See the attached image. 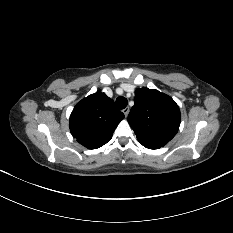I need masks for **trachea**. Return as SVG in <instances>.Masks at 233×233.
Wrapping results in <instances>:
<instances>
[{"label":"trachea","mask_w":233,"mask_h":233,"mask_svg":"<svg viewBox=\"0 0 233 233\" xmlns=\"http://www.w3.org/2000/svg\"><path fill=\"white\" fill-rule=\"evenodd\" d=\"M128 104V100L125 97H118L116 99V105L119 109H124Z\"/></svg>","instance_id":"3493384b"}]
</instances>
